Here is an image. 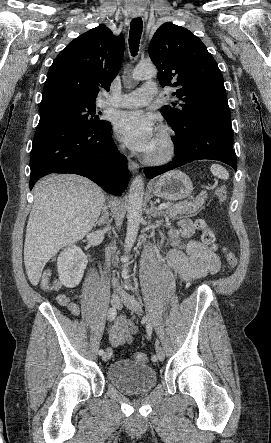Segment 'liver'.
<instances>
[{
    "mask_svg": "<svg viewBox=\"0 0 271 443\" xmlns=\"http://www.w3.org/2000/svg\"><path fill=\"white\" fill-rule=\"evenodd\" d=\"M34 204L27 223L24 263L32 285H38L49 259L61 247L91 231L105 204L103 190L75 176H47L33 188Z\"/></svg>",
    "mask_w": 271,
    "mask_h": 443,
    "instance_id": "obj_1",
    "label": "liver"
}]
</instances>
